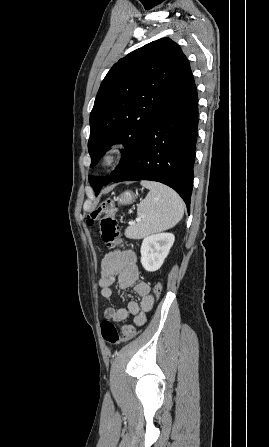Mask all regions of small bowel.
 I'll list each match as a JSON object with an SVG mask.
<instances>
[{"label": "small bowel", "mask_w": 269, "mask_h": 447, "mask_svg": "<svg viewBox=\"0 0 269 447\" xmlns=\"http://www.w3.org/2000/svg\"><path fill=\"white\" fill-rule=\"evenodd\" d=\"M116 283L118 288L125 290L131 286L140 296V303L134 300H128L126 308H107L104 316L120 325L130 316H135V323L145 322V312L153 305V297L151 295L150 285L139 279V269L136 264V256L131 250L110 251L101 262V276L98 284L101 287V296L104 299H110L113 296L111 286ZM125 298L129 296L125 294ZM127 326H123V330Z\"/></svg>", "instance_id": "c3829d8e"}]
</instances>
